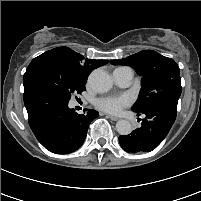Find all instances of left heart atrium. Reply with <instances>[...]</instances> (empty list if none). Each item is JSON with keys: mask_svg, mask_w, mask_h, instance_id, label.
Wrapping results in <instances>:
<instances>
[{"mask_svg": "<svg viewBox=\"0 0 201 201\" xmlns=\"http://www.w3.org/2000/svg\"><path fill=\"white\" fill-rule=\"evenodd\" d=\"M130 103L131 98L128 95L101 97L95 102L99 109L108 113H118Z\"/></svg>", "mask_w": 201, "mask_h": 201, "instance_id": "1", "label": "left heart atrium"}]
</instances>
